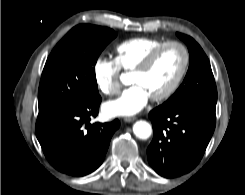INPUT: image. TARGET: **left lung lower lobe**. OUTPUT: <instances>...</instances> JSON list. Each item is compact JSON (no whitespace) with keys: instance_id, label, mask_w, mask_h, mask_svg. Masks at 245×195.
Instances as JSON below:
<instances>
[{"instance_id":"left-lung-lower-lobe-1","label":"left lung lower lobe","mask_w":245,"mask_h":195,"mask_svg":"<svg viewBox=\"0 0 245 195\" xmlns=\"http://www.w3.org/2000/svg\"><path fill=\"white\" fill-rule=\"evenodd\" d=\"M215 109L164 103L149 113L154 135L147 156L159 175L178 177L199 163L215 129Z\"/></svg>"}]
</instances>
